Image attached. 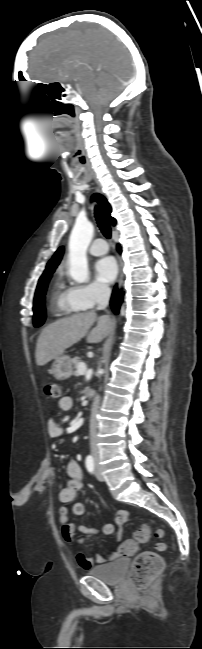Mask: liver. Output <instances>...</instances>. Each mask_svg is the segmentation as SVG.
<instances>
[{
  "label": "liver",
  "mask_w": 202,
  "mask_h": 649,
  "mask_svg": "<svg viewBox=\"0 0 202 649\" xmlns=\"http://www.w3.org/2000/svg\"><path fill=\"white\" fill-rule=\"evenodd\" d=\"M97 320V326L88 333ZM114 319L110 315L97 318L94 311L72 315L55 321L45 327L36 344L35 358L38 366L47 364L52 359L61 356L65 350L87 334L89 343L101 342L113 326Z\"/></svg>",
  "instance_id": "6515ba94"
}]
</instances>
